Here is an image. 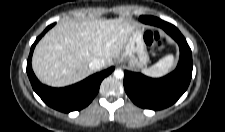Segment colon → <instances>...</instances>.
I'll return each instance as SVG.
<instances>
[{"mask_svg":"<svg viewBox=\"0 0 225 132\" xmlns=\"http://www.w3.org/2000/svg\"><path fill=\"white\" fill-rule=\"evenodd\" d=\"M144 41L147 45L156 49H160L162 46L161 37L157 32L146 31L144 34Z\"/></svg>","mask_w":225,"mask_h":132,"instance_id":"obj_1","label":"colon"}]
</instances>
